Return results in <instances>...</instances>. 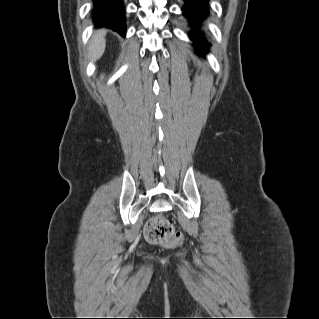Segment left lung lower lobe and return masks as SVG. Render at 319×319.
<instances>
[{
    "instance_id": "0a47b994",
    "label": "left lung lower lobe",
    "mask_w": 319,
    "mask_h": 319,
    "mask_svg": "<svg viewBox=\"0 0 319 319\" xmlns=\"http://www.w3.org/2000/svg\"><path fill=\"white\" fill-rule=\"evenodd\" d=\"M182 8L184 17L188 20L190 27L194 30L189 32V37L195 41V48L201 55H205L209 48V43L204 39L201 31V22L208 16L209 0H184Z\"/></svg>"
}]
</instances>
